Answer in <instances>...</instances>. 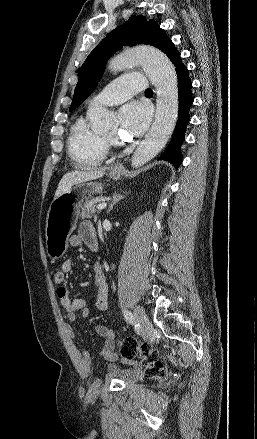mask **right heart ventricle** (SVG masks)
I'll list each match as a JSON object with an SVG mask.
<instances>
[{
  "label": "right heart ventricle",
  "mask_w": 257,
  "mask_h": 439,
  "mask_svg": "<svg viewBox=\"0 0 257 439\" xmlns=\"http://www.w3.org/2000/svg\"><path fill=\"white\" fill-rule=\"evenodd\" d=\"M106 149L105 139L83 119L73 124L68 139V152L77 167L99 166L105 158Z\"/></svg>",
  "instance_id": "obj_1"
}]
</instances>
